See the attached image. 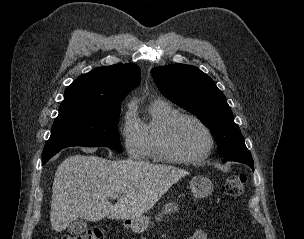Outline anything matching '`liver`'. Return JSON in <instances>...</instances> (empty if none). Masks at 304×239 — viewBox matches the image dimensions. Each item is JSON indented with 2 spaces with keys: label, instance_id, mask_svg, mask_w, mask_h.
Wrapping results in <instances>:
<instances>
[{
  "label": "liver",
  "instance_id": "1",
  "mask_svg": "<svg viewBox=\"0 0 304 239\" xmlns=\"http://www.w3.org/2000/svg\"><path fill=\"white\" fill-rule=\"evenodd\" d=\"M186 170L135 160H107L98 156L73 155L58 166L52 188L50 222L61 232L82 218L91 222L130 220L142 216ZM120 195L116 204L109 198Z\"/></svg>",
  "mask_w": 304,
  "mask_h": 239
}]
</instances>
